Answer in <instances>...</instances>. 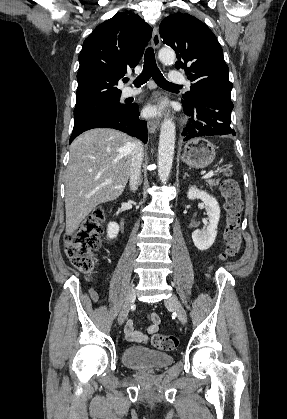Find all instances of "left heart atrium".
Returning <instances> with one entry per match:
<instances>
[{
    "label": "left heart atrium",
    "instance_id": "left-heart-atrium-1",
    "mask_svg": "<svg viewBox=\"0 0 287 419\" xmlns=\"http://www.w3.org/2000/svg\"><path fill=\"white\" fill-rule=\"evenodd\" d=\"M160 110V105L158 104H153V105H148L145 109L144 112L147 116H152L155 115L156 113H158Z\"/></svg>",
    "mask_w": 287,
    "mask_h": 419
}]
</instances>
